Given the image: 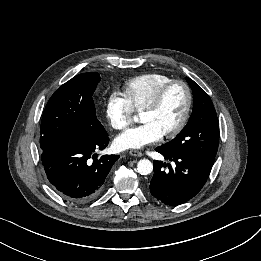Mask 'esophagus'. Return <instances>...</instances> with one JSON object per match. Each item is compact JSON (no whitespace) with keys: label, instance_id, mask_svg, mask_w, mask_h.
I'll return each mask as SVG.
<instances>
[{"label":"esophagus","instance_id":"1","mask_svg":"<svg viewBox=\"0 0 261 261\" xmlns=\"http://www.w3.org/2000/svg\"><path fill=\"white\" fill-rule=\"evenodd\" d=\"M132 156L134 157H142V152L138 151V150H130L129 152Z\"/></svg>","mask_w":261,"mask_h":261}]
</instances>
